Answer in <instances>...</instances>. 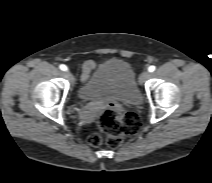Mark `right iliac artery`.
<instances>
[{
    "label": "right iliac artery",
    "instance_id": "82829eb1",
    "mask_svg": "<svg viewBox=\"0 0 212 183\" xmlns=\"http://www.w3.org/2000/svg\"><path fill=\"white\" fill-rule=\"evenodd\" d=\"M60 69H61L62 71H67V70H68L67 66L64 65V64H61V65H60Z\"/></svg>",
    "mask_w": 212,
    "mask_h": 183
}]
</instances>
